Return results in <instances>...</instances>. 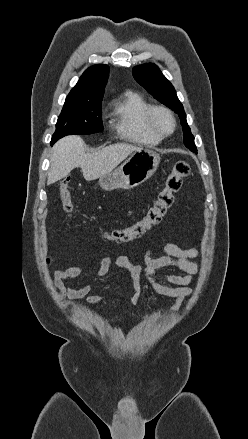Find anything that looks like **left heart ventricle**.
Segmentation results:
<instances>
[{
    "instance_id": "left-heart-ventricle-1",
    "label": "left heart ventricle",
    "mask_w": 248,
    "mask_h": 439,
    "mask_svg": "<svg viewBox=\"0 0 248 439\" xmlns=\"http://www.w3.org/2000/svg\"><path fill=\"white\" fill-rule=\"evenodd\" d=\"M156 121H157V125H158L160 130H162L164 132L170 131L171 122L165 114H162V113L158 114Z\"/></svg>"
}]
</instances>
